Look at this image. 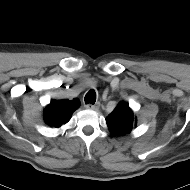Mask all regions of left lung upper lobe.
Returning a JSON list of instances; mask_svg holds the SVG:
<instances>
[{"label":"left lung upper lobe","mask_w":190,"mask_h":190,"mask_svg":"<svg viewBox=\"0 0 190 190\" xmlns=\"http://www.w3.org/2000/svg\"><path fill=\"white\" fill-rule=\"evenodd\" d=\"M109 131L114 136H123L136 126V118L129 105L121 102L106 118Z\"/></svg>","instance_id":"5c2ea615"}]
</instances>
